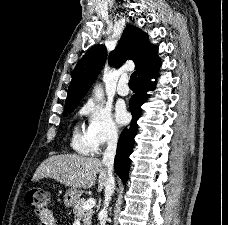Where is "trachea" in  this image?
<instances>
[{
  "label": "trachea",
  "mask_w": 228,
  "mask_h": 225,
  "mask_svg": "<svg viewBox=\"0 0 228 225\" xmlns=\"http://www.w3.org/2000/svg\"><path fill=\"white\" fill-rule=\"evenodd\" d=\"M136 80H137L136 72H133L130 77L129 87L136 88L137 87Z\"/></svg>",
  "instance_id": "obj_1"
}]
</instances>
